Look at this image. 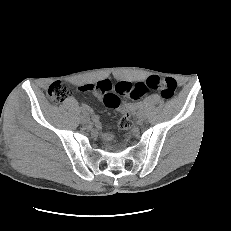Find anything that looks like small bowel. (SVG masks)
Masks as SVG:
<instances>
[{
    "instance_id": "obj_1",
    "label": "small bowel",
    "mask_w": 231,
    "mask_h": 231,
    "mask_svg": "<svg viewBox=\"0 0 231 231\" xmlns=\"http://www.w3.org/2000/svg\"><path fill=\"white\" fill-rule=\"evenodd\" d=\"M96 84H91V83L83 84V85H80L78 87V90L80 92H94V93L98 94L99 96H101V94L95 90ZM135 108H136V105L131 104V103L121 102V105H120L121 110H128V111H130V113L133 112L135 110ZM104 138L106 140H112L113 136L109 131H106L104 133Z\"/></svg>"
}]
</instances>
